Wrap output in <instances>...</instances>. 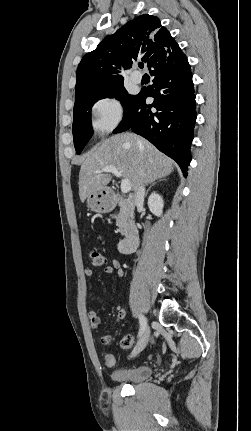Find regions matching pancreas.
<instances>
[{
  "label": "pancreas",
  "mask_w": 251,
  "mask_h": 431,
  "mask_svg": "<svg viewBox=\"0 0 251 431\" xmlns=\"http://www.w3.org/2000/svg\"><path fill=\"white\" fill-rule=\"evenodd\" d=\"M128 216V210L126 208H121L116 218V225L119 227L120 233L123 235L126 227V220Z\"/></svg>",
  "instance_id": "obj_1"
}]
</instances>
